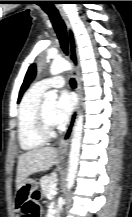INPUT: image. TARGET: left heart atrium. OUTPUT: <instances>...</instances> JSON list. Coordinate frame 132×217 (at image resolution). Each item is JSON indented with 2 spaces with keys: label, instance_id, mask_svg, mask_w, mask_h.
Masks as SVG:
<instances>
[{
  "label": "left heart atrium",
  "instance_id": "1",
  "mask_svg": "<svg viewBox=\"0 0 132 217\" xmlns=\"http://www.w3.org/2000/svg\"><path fill=\"white\" fill-rule=\"evenodd\" d=\"M75 104L76 101L74 96L67 91H63L55 104V108L52 115L53 124H65L69 120L75 108Z\"/></svg>",
  "mask_w": 132,
  "mask_h": 217
}]
</instances>
